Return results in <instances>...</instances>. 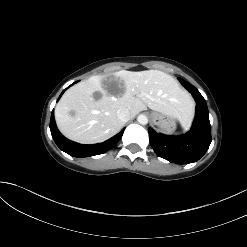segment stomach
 <instances>
[{
	"label": "stomach",
	"mask_w": 247,
	"mask_h": 247,
	"mask_svg": "<svg viewBox=\"0 0 247 247\" xmlns=\"http://www.w3.org/2000/svg\"><path fill=\"white\" fill-rule=\"evenodd\" d=\"M151 117L154 125L158 126L165 133H171L176 129V120L171 116L153 112Z\"/></svg>",
	"instance_id": "stomach-1"
}]
</instances>
